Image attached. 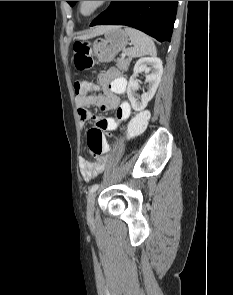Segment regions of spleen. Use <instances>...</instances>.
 Returning a JSON list of instances; mask_svg holds the SVG:
<instances>
[{"mask_svg": "<svg viewBox=\"0 0 233 295\" xmlns=\"http://www.w3.org/2000/svg\"><path fill=\"white\" fill-rule=\"evenodd\" d=\"M125 32L129 35L133 44L132 48L126 50L129 57H141L144 55H156V47L151 37L131 27H126Z\"/></svg>", "mask_w": 233, "mask_h": 295, "instance_id": "spleen-1", "label": "spleen"}]
</instances>
